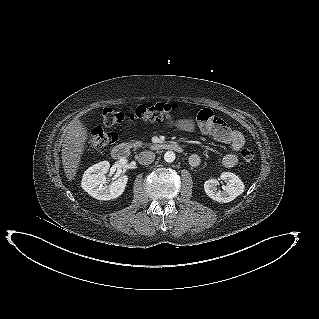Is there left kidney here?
I'll use <instances>...</instances> for the list:
<instances>
[{
  "instance_id": "left-kidney-1",
  "label": "left kidney",
  "mask_w": 319,
  "mask_h": 319,
  "mask_svg": "<svg viewBox=\"0 0 319 319\" xmlns=\"http://www.w3.org/2000/svg\"><path fill=\"white\" fill-rule=\"evenodd\" d=\"M220 179L226 182V185L222 186V191L217 189L216 179H209L204 183L205 193L214 201L228 203L244 192V183L234 173L222 172Z\"/></svg>"
}]
</instances>
